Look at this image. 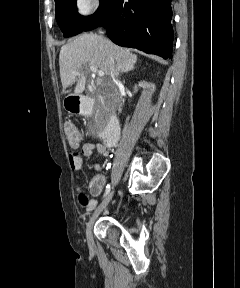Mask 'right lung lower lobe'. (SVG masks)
I'll use <instances>...</instances> for the list:
<instances>
[{"label": "right lung lower lobe", "instance_id": "1", "mask_svg": "<svg viewBox=\"0 0 240 288\" xmlns=\"http://www.w3.org/2000/svg\"><path fill=\"white\" fill-rule=\"evenodd\" d=\"M171 17V0H108L84 31L103 26L120 46L172 59Z\"/></svg>", "mask_w": 240, "mask_h": 288}]
</instances>
